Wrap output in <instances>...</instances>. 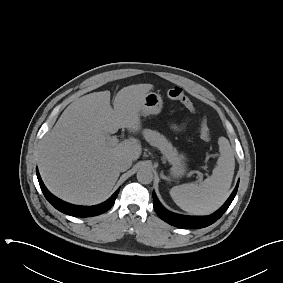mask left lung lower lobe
<instances>
[{"mask_svg":"<svg viewBox=\"0 0 283 283\" xmlns=\"http://www.w3.org/2000/svg\"><path fill=\"white\" fill-rule=\"evenodd\" d=\"M238 185H239V181L237 182L234 191L232 192L228 200L225 202V204L218 211H216L215 213L209 216L200 217V216H183V215L174 214L166 210L160 204L155 192H153L154 209L162 220L173 226L179 228H186V229L204 228L216 222L224 214V212L230 206L231 202L233 201L237 193Z\"/></svg>","mask_w":283,"mask_h":283,"instance_id":"1","label":"left lung lower lobe"}]
</instances>
